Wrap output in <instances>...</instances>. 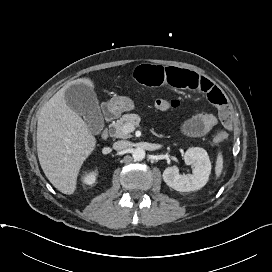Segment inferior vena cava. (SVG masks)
Instances as JSON below:
<instances>
[{"label": "inferior vena cava", "mask_w": 272, "mask_h": 272, "mask_svg": "<svg viewBox=\"0 0 272 272\" xmlns=\"http://www.w3.org/2000/svg\"><path fill=\"white\" fill-rule=\"evenodd\" d=\"M131 146L129 141H117L113 144V149L116 151L126 150Z\"/></svg>", "instance_id": "inferior-vena-cava-1"}]
</instances>
